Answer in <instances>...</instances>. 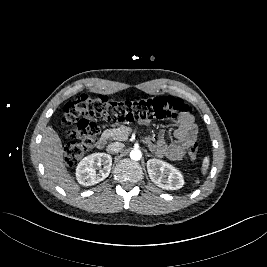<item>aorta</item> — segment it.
I'll list each match as a JSON object with an SVG mask.
<instances>
[{
  "label": "aorta",
  "mask_w": 267,
  "mask_h": 267,
  "mask_svg": "<svg viewBox=\"0 0 267 267\" xmlns=\"http://www.w3.org/2000/svg\"><path fill=\"white\" fill-rule=\"evenodd\" d=\"M141 157H142V153H141L140 150H132V151L130 152V158H131L132 160L138 161V160L141 159Z\"/></svg>",
  "instance_id": "obj_1"
}]
</instances>
